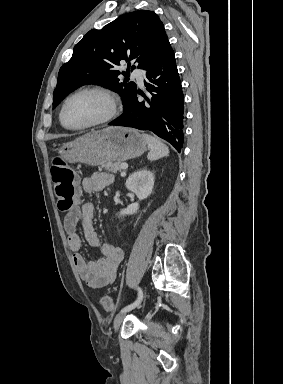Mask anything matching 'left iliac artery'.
<instances>
[{"label":"left iliac artery","instance_id":"44dca946","mask_svg":"<svg viewBox=\"0 0 283 384\" xmlns=\"http://www.w3.org/2000/svg\"><path fill=\"white\" fill-rule=\"evenodd\" d=\"M137 291H138L137 299L133 303H131L130 305L125 306L121 311H125V312L130 311V310L136 308L142 302L143 291L140 287L137 288Z\"/></svg>","mask_w":283,"mask_h":384}]
</instances>
